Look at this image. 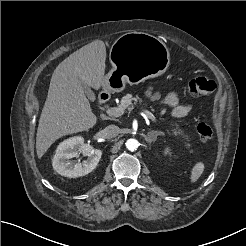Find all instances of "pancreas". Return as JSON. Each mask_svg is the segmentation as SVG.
I'll use <instances>...</instances> for the list:
<instances>
[{
    "label": "pancreas",
    "mask_w": 246,
    "mask_h": 246,
    "mask_svg": "<svg viewBox=\"0 0 246 246\" xmlns=\"http://www.w3.org/2000/svg\"><path fill=\"white\" fill-rule=\"evenodd\" d=\"M142 103H143V100L138 95L133 97L131 94H127L126 96L122 97L119 107L123 111H125L126 109H128V111H131L134 108L133 105H136V104L141 105ZM146 106L147 104L142 105V107H146ZM146 112H149V111H146ZM175 127H176L175 129L171 130L172 134H174L175 136L182 135L185 139L187 140L189 139L188 135L184 134V131L179 128L178 124H175Z\"/></svg>",
    "instance_id": "1"
}]
</instances>
